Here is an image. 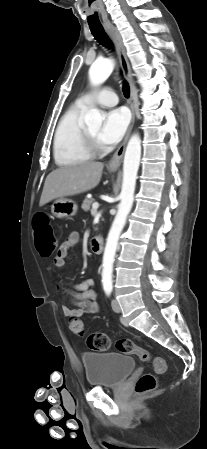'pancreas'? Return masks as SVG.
Here are the masks:
<instances>
[{
    "label": "pancreas",
    "instance_id": "1",
    "mask_svg": "<svg viewBox=\"0 0 207 449\" xmlns=\"http://www.w3.org/2000/svg\"><path fill=\"white\" fill-rule=\"evenodd\" d=\"M93 202H94V199H93V198H85V200H84L83 203H82L81 208H82L84 211H88V210H90V207H91V205L93 204Z\"/></svg>",
    "mask_w": 207,
    "mask_h": 449
}]
</instances>
